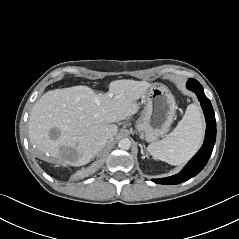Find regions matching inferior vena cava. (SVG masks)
<instances>
[{
    "label": "inferior vena cava",
    "mask_w": 239,
    "mask_h": 239,
    "mask_svg": "<svg viewBox=\"0 0 239 239\" xmlns=\"http://www.w3.org/2000/svg\"><path fill=\"white\" fill-rule=\"evenodd\" d=\"M107 142H108L107 138L100 139L97 143V150H101L102 148H104L106 146Z\"/></svg>",
    "instance_id": "602c4592"
}]
</instances>
